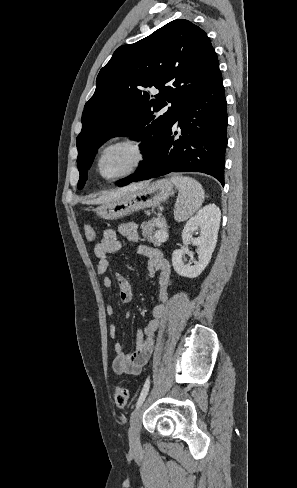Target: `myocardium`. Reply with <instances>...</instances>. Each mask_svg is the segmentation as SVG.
<instances>
[{
  "label": "myocardium",
  "instance_id": "myocardium-1",
  "mask_svg": "<svg viewBox=\"0 0 297 488\" xmlns=\"http://www.w3.org/2000/svg\"><path fill=\"white\" fill-rule=\"evenodd\" d=\"M118 145H131L133 146L137 152H138V157L136 159V161L134 162V164L129 168L127 169L126 171L116 175V176H113V177H107L104 175L103 171H102V159L105 155V153L115 147V146H118ZM149 159V147L146 143V141L140 137H137V136H125V137H121V138H118V139H115L113 141H111L110 143H108L107 145H105L99 155H98V159H97V168H98V172L100 174V176L107 180V181H117V180H120L122 178H125V177H128L134 173H136L137 171H139L141 168H143L145 166V164L147 163Z\"/></svg>",
  "mask_w": 297,
  "mask_h": 488
}]
</instances>
